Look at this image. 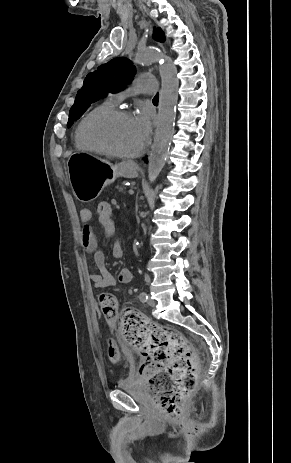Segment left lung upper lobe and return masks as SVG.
<instances>
[{
  "mask_svg": "<svg viewBox=\"0 0 291 463\" xmlns=\"http://www.w3.org/2000/svg\"><path fill=\"white\" fill-rule=\"evenodd\" d=\"M154 37L163 42L164 33L160 28H154ZM135 74V67L132 62L124 57L115 58L89 73L83 87L77 92L75 102L69 112L70 127L73 122L79 119L91 103L104 98L108 93H115L132 81Z\"/></svg>",
  "mask_w": 291,
  "mask_h": 463,
  "instance_id": "1",
  "label": "left lung upper lobe"
}]
</instances>
